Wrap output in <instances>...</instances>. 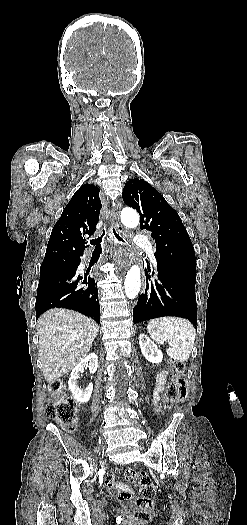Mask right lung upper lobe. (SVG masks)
Instances as JSON below:
<instances>
[{
    "instance_id": "1",
    "label": "right lung upper lobe",
    "mask_w": 247,
    "mask_h": 525,
    "mask_svg": "<svg viewBox=\"0 0 247 525\" xmlns=\"http://www.w3.org/2000/svg\"><path fill=\"white\" fill-rule=\"evenodd\" d=\"M99 189L85 184L73 195L54 225L41 268L59 257L74 258L85 249L82 236L93 235L99 221Z\"/></svg>"
}]
</instances>
